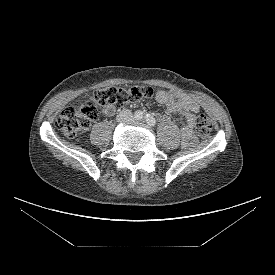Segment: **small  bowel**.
Here are the masks:
<instances>
[{"mask_svg": "<svg viewBox=\"0 0 275 275\" xmlns=\"http://www.w3.org/2000/svg\"><path fill=\"white\" fill-rule=\"evenodd\" d=\"M156 99L166 106L169 114L182 116L185 119V124L180 130L181 141L185 146L193 145L196 142L193 128L199 105L191 97L176 90H160L156 94ZM116 111V106L113 104L103 108V113L108 117L114 116Z\"/></svg>", "mask_w": 275, "mask_h": 275, "instance_id": "1", "label": "small bowel"}]
</instances>
